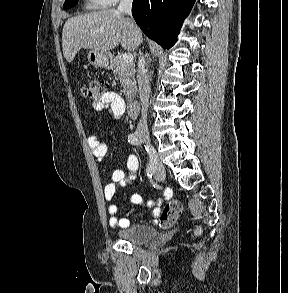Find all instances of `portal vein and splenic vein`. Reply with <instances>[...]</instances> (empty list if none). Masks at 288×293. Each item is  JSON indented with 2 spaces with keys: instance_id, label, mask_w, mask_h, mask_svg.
<instances>
[{
  "instance_id": "obj_1",
  "label": "portal vein and splenic vein",
  "mask_w": 288,
  "mask_h": 293,
  "mask_svg": "<svg viewBox=\"0 0 288 293\" xmlns=\"http://www.w3.org/2000/svg\"><path fill=\"white\" fill-rule=\"evenodd\" d=\"M122 60L125 62H132L133 61V55L131 53H124L122 55Z\"/></svg>"
}]
</instances>
